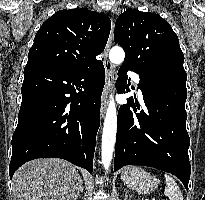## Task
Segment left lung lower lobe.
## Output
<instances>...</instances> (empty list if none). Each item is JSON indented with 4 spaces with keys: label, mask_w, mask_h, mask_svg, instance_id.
<instances>
[{
    "label": "left lung lower lobe",
    "mask_w": 205,
    "mask_h": 200,
    "mask_svg": "<svg viewBox=\"0 0 205 200\" xmlns=\"http://www.w3.org/2000/svg\"><path fill=\"white\" fill-rule=\"evenodd\" d=\"M127 70L121 67L118 71V93L129 91ZM139 77L138 88L145 106L140 108L130 97L128 105H122L118 111L114 171L125 165L154 167L177 176L188 190L191 166L185 124L186 72L172 68L142 73Z\"/></svg>",
    "instance_id": "obj_1"
}]
</instances>
